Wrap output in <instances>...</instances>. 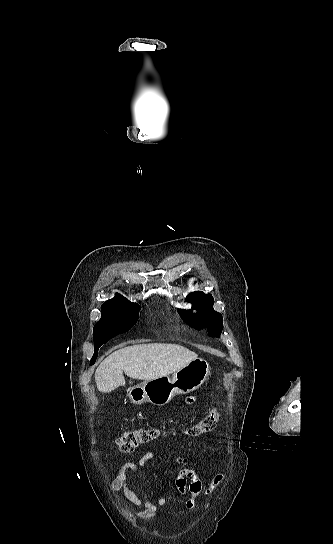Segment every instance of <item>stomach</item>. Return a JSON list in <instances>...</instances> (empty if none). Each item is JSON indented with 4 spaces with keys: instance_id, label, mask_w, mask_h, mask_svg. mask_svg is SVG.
<instances>
[{
    "instance_id": "stomach-1",
    "label": "stomach",
    "mask_w": 333,
    "mask_h": 544,
    "mask_svg": "<svg viewBox=\"0 0 333 544\" xmlns=\"http://www.w3.org/2000/svg\"><path fill=\"white\" fill-rule=\"evenodd\" d=\"M209 373L208 362L197 358L177 370L172 377L162 376L129 388L127 395L135 405L150 402L156 406H164L175 395L187 394L199 388Z\"/></svg>"
}]
</instances>
